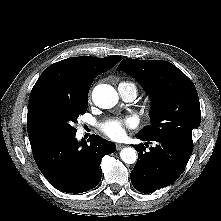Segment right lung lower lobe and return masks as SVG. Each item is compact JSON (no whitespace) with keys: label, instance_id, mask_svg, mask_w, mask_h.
<instances>
[{"label":"right lung lower lobe","instance_id":"obj_1","mask_svg":"<svg viewBox=\"0 0 221 221\" xmlns=\"http://www.w3.org/2000/svg\"><path fill=\"white\" fill-rule=\"evenodd\" d=\"M32 150L44 177L58 190L76 194L98 185L101 159L113 153L116 146L98 135H92L89 144L77 142L72 135L45 141Z\"/></svg>","mask_w":221,"mask_h":221}]
</instances>
